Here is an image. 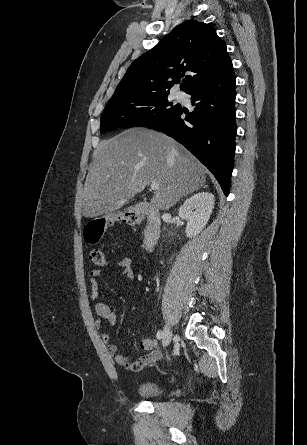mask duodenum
<instances>
[{
	"label": "duodenum",
	"mask_w": 307,
	"mask_h": 445,
	"mask_svg": "<svg viewBox=\"0 0 307 445\" xmlns=\"http://www.w3.org/2000/svg\"><path fill=\"white\" fill-rule=\"evenodd\" d=\"M136 211L145 215L147 224L143 234V248L146 251L152 250L157 243L161 233V219L159 212L148 205L142 203L136 206Z\"/></svg>",
	"instance_id": "410a0bca"
}]
</instances>
